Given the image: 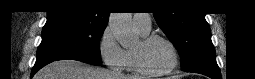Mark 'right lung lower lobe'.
<instances>
[{"label":"right lung lower lobe","instance_id":"1","mask_svg":"<svg viewBox=\"0 0 255 79\" xmlns=\"http://www.w3.org/2000/svg\"><path fill=\"white\" fill-rule=\"evenodd\" d=\"M57 60H66V59H51V60H47V61H43L40 63H35L32 71H31V77H33V75L39 70L41 69L43 66L53 62V61H57Z\"/></svg>","mask_w":255,"mask_h":79}]
</instances>
